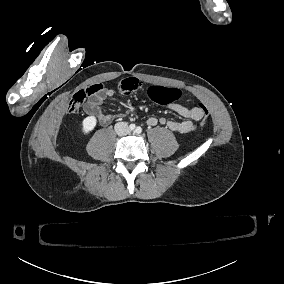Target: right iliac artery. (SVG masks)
<instances>
[{
    "label": "right iliac artery",
    "mask_w": 284,
    "mask_h": 284,
    "mask_svg": "<svg viewBox=\"0 0 284 284\" xmlns=\"http://www.w3.org/2000/svg\"><path fill=\"white\" fill-rule=\"evenodd\" d=\"M129 128H130V130H134V129H135V124H131V125L129 126Z\"/></svg>",
    "instance_id": "right-iliac-artery-1"
}]
</instances>
